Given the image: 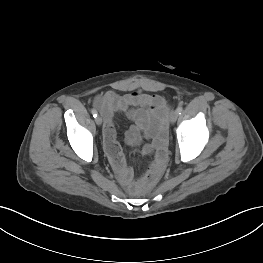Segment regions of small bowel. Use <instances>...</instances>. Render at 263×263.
Returning <instances> with one entry per match:
<instances>
[{"instance_id":"c3829d8e","label":"small bowel","mask_w":263,"mask_h":263,"mask_svg":"<svg viewBox=\"0 0 263 263\" xmlns=\"http://www.w3.org/2000/svg\"><path fill=\"white\" fill-rule=\"evenodd\" d=\"M94 105L104 117V148L120 182L131 187L133 172L127 166L122 148L116 139L115 113H125L135 122L127 132L126 140L130 145L137 146L141 143L143 133L147 142L142 145V152L154 153L149 170L160 172L167 160L168 107L164 99L159 95L141 92L121 95L115 91H107L95 98Z\"/></svg>"}]
</instances>
